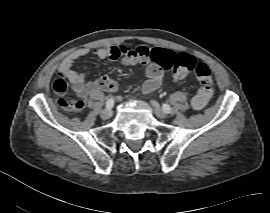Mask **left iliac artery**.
I'll use <instances>...</instances> for the list:
<instances>
[{
    "label": "left iliac artery",
    "mask_w": 270,
    "mask_h": 213,
    "mask_svg": "<svg viewBox=\"0 0 270 213\" xmlns=\"http://www.w3.org/2000/svg\"><path fill=\"white\" fill-rule=\"evenodd\" d=\"M164 113H171V107L168 104H163L162 105Z\"/></svg>",
    "instance_id": "44dca946"
}]
</instances>
